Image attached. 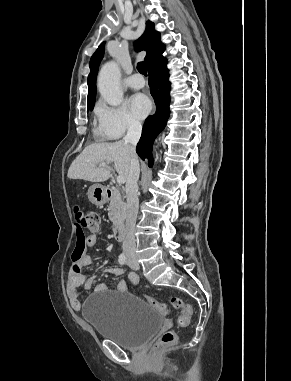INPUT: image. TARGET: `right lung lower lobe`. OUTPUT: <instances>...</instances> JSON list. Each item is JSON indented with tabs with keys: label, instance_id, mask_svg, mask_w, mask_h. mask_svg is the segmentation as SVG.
Segmentation results:
<instances>
[{
	"label": "right lung lower lobe",
	"instance_id": "obj_1",
	"mask_svg": "<svg viewBox=\"0 0 291 381\" xmlns=\"http://www.w3.org/2000/svg\"><path fill=\"white\" fill-rule=\"evenodd\" d=\"M167 61L165 58L148 67L150 92L156 104V113L148 116L137 144L136 152L142 160L147 159L149 167L153 165L152 144L157 135L165 128L170 115V82L168 81Z\"/></svg>",
	"mask_w": 291,
	"mask_h": 381
}]
</instances>
